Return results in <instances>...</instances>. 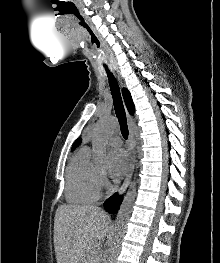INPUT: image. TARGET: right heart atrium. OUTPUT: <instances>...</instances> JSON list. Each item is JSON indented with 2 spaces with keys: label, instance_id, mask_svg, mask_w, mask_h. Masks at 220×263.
Here are the masks:
<instances>
[{
  "label": "right heart atrium",
  "instance_id": "obj_1",
  "mask_svg": "<svg viewBox=\"0 0 220 263\" xmlns=\"http://www.w3.org/2000/svg\"><path fill=\"white\" fill-rule=\"evenodd\" d=\"M100 183L104 184V179L102 177H100Z\"/></svg>",
  "mask_w": 220,
  "mask_h": 263
}]
</instances>
